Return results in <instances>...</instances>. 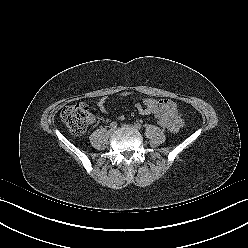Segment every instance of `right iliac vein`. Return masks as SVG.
<instances>
[{
    "mask_svg": "<svg viewBox=\"0 0 248 248\" xmlns=\"http://www.w3.org/2000/svg\"><path fill=\"white\" fill-rule=\"evenodd\" d=\"M114 131H115V129L111 128V129L109 130V133L112 135V134L114 133Z\"/></svg>",
    "mask_w": 248,
    "mask_h": 248,
    "instance_id": "right-iliac-vein-1",
    "label": "right iliac vein"
}]
</instances>
